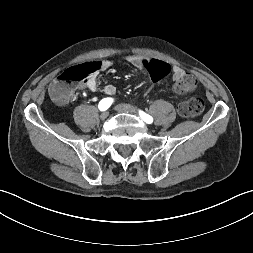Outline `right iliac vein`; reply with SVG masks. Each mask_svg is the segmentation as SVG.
Wrapping results in <instances>:
<instances>
[{
    "mask_svg": "<svg viewBox=\"0 0 253 253\" xmlns=\"http://www.w3.org/2000/svg\"><path fill=\"white\" fill-rule=\"evenodd\" d=\"M109 113L107 111L103 112L101 115H100V119L101 120H105L107 117H108Z\"/></svg>",
    "mask_w": 253,
    "mask_h": 253,
    "instance_id": "63e3f726",
    "label": "right iliac vein"
}]
</instances>
